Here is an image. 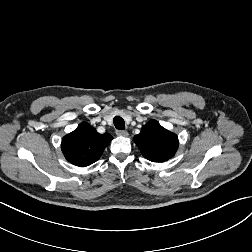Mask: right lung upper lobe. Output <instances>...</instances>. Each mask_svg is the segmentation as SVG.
I'll return each instance as SVG.
<instances>
[{
  "label": "right lung upper lobe",
  "instance_id": "cb5924a9",
  "mask_svg": "<svg viewBox=\"0 0 252 252\" xmlns=\"http://www.w3.org/2000/svg\"><path fill=\"white\" fill-rule=\"evenodd\" d=\"M112 139L110 134H99L89 123L82 122L73 132L63 137L62 152L70 163L85 167L101 157Z\"/></svg>",
  "mask_w": 252,
  "mask_h": 252
}]
</instances>
